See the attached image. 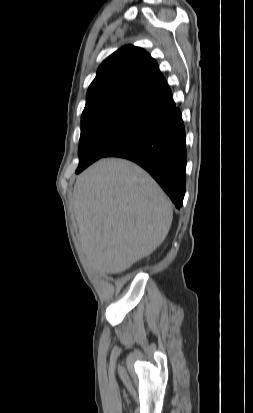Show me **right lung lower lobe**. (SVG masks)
<instances>
[{
	"label": "right lung lower lobe",
	"instance_id": "right-lung-lower-lobe-1",
	"mask_svg": "<svg viewBox=\"0 0 253 413\" xmlns=\"http://www.w3.org/2000/svg\"><path fill=\"white\" fill-rule=\"evenodd\" d=\"M104 157H121L137 163L159 183L176 208L182 206L187 152L185 127L178 108L159 116L153 125Z\"/></svg>",
	"mask_w": 253,
	"mask_h": 413
}]
</instances>
